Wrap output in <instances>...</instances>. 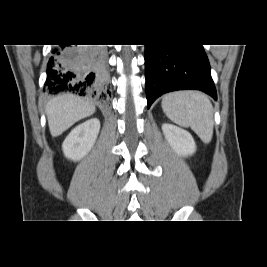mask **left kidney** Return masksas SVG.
<instances>
[{"mask_svg": "<svg viewBox=\"0 0 267 267\" xmlns=\"http://www.w3.org/2000/svg\"><path fill=\"white\" fill-rule=\"evenodd\" d=\"M162 131L173 150L180 156L187 157L196 151V144L192 135L172 124H163Z\"/></svg>", "mask_w": 267, "mask_h": 267, "instance_id": "1", "label": "left kidney"}]
</instances>
